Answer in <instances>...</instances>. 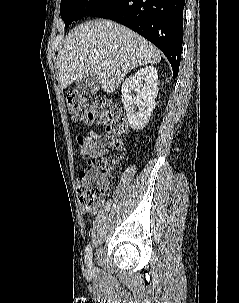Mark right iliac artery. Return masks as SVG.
I'll list each match as a JSON object with an SVG mask.
<instances>
[{
  "label": "right iliac artery",
  "instance_id": "obj_1",
  "mask_svg": "<svg viewBox=\"0 0 239 303\" xmlns=\"http://www.w3.org/2000/svg\"><path fill=\"white\" fill-rule=\"evenodd\" d=\"M85 262L87 263V265L91 268L93 265L92 262V248L90 245L87 246L86 248V253H85Z\"/></svg>",
  "mask_w": 239,
  "mask_h": 303
}]
</instances>
